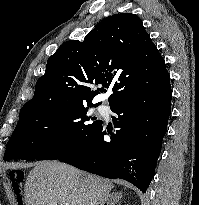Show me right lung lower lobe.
<instances>
[{
  "instance_id": "1",
  "label": "right lung lower lobe",
  "mask_w": 199,
  "mask_h": 205,
  "mask_svg": "<svg viewBox=\"0 0 199 205\" xmlns=\"http://www.w3.org/2000/svg\"><path fill=\"white\" fill-rule=\"evenodd\" d=\"M172 90L168 72L142 78L129 93L110 105L116 133L104 140L101 125L79 151L58 159L106 178H120L146 192L155 172L171 113Z\"/></svg>"
}]
</instances>
